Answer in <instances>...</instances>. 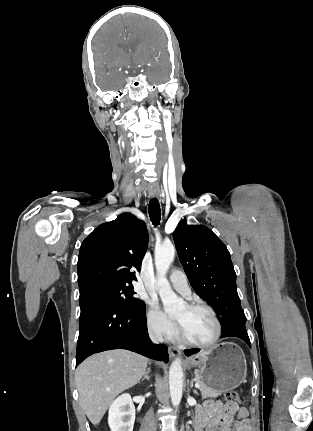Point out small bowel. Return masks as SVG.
Segmentation results:
<instances>
[{
  "label": "small bowel",
  "mask_w": 313,
  "mask_h": 431,
  "mask_svg": "<svg viewBox=\"0 0 313 431\" xmlns=\"http://www.w3.org/2000/svg\"><path fill=\"white\" fill-rule=\"evenodd\" d=\"M234 431H253L248 410L238 405H224L221 401L208 400L196 412V431H230L234 417Z\"/></svg>",
  "instance_id": "c3829d8e"
}]
</instances>
